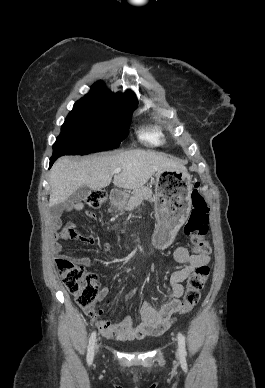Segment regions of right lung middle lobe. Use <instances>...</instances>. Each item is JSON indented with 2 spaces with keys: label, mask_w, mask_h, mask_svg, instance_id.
I'll return each mask as SVG.
<instances>
[{
  "label": "right lung middle lobe",
  "mask_w": 265,
  "mask_h": 388,
  "mask_svg": "<svg viewBox=\"0 0 265 388\" xmlns=\"http://www.w3.org/2000/svg\"><path fill=\"white\" fill-rule=\"evenodd\" d=\"M136 106L112 98L80 99L61 127L53 155H86L119 147Z\"/></svg>",
  "instance_id": "right-lung-middle-lobe-1"
}]
</instances>
